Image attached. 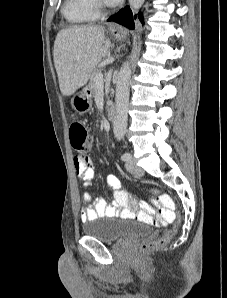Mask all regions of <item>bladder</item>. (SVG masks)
Returning a JSON list of instances; mask_svg holds the SVG:
<instances>
[{
    "mask_svg": "<svg viewBox=\"0 0 227 298\" xmlns=\"http://www.w3.org/2000/svg\"><path fill=\"white\" fill-rule=\"evenodd\" d=\"M152 229L141 222L130 219H95L82 225L84 235L103 242L143 237L151 233Z\"/></svg>",
    "mask_w": 227,
    "mask_h": 298,
    "instance_id": "1",
    "label": "bladder"
}]
</instances>
